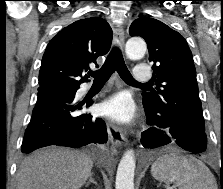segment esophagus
Returning a JSON list of instances; mask_svg holds the SVG:
<instances>
[{
  "label": "esophagus",
  "mask_w": 223,
  "mask_h": 189,
  "mask_svg": "<svg viewBox=\"0 0 223 189\" xmlns=\"http://www.w3.org/2000/svg\"><path fill=\"white\" fill-rule=\"evenodd\" d=\"M113 32H114V37H113L114 45L122 50L125 42L124 30L122 25L120 24L116 25ZM107 131L109 140L112 143V145L119 147L122 145L123 141H125V136L120 130V128L110 121L107 122Z\"/></svg>",
  "instance_id": "obj_1"
}]
</instances>
